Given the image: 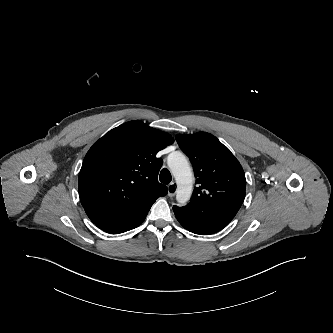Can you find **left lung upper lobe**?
Here are the masks:
<instances>
[{
  "label": "left lung upper lobe",
  "mask_w": 333,
  "mask_h": 333,
  "mask_svg": "<svg viewBox=\"0 0 333 333\" xmlns=\"http://www.w3.org/2000/svg\"><path fill=\"white\" fill-rule=\"evenodd\" d=\"M176 140L189 156L197 178L190 202H205L224 196H238L243 203L246 179L242 166L230 150L206 132L178 134Z\"/></svg>",
  "instance_id": "5c2ea615"
}]
</instances>
